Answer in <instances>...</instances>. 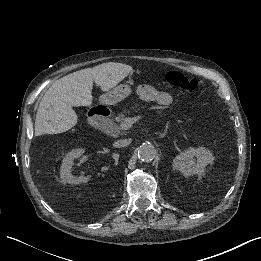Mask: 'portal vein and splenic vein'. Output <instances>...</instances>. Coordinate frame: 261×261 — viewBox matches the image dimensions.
Wrapping results in <instances>:
<instances>
[{
  "label": "portal vein and splenic vein",
  "mask_w": 261,
  "mask_h": 261,
  "mask_svg": "<svg viewBox=\"0 0 261 261\" xmlns=\"http://www.w3.org/2000/svg\"><path fill=\"white\" fill-rule=\"evenodd\" d=\"M143 119V116L141 115V114H138L136 117H134V118H125L121 123H120V125H119V127H120V129L122 130V131H127V130H129L132 126H133V124H134V122H136L137 120L138 121H141Z\"/></svg>",
  "instance_id": "18ae733b"
}]
</instances>
